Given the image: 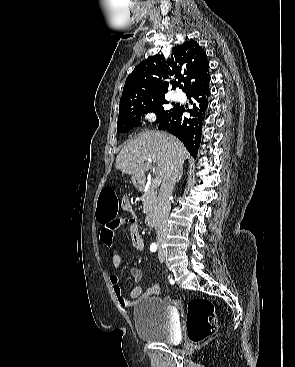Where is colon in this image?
<instances>
[{"mask_svg": "<svg viewBox=\"0 0 295 367\" xmlns=\"http://www.w3.org/2000/svg\"><path fill=\"white\" fill-rule=\"evenodd\" d=\"M119 201L111 187H104L99 197L97 219L100 223L117 218ZM187 333L193 343H200L217 330V317L213 303L207 298H194L187 306Z\"/></svg>", "mask_w": 295, "mask_h": 367, "instance_id": "5ec220e1", "label": "colon"}]
</instances>
